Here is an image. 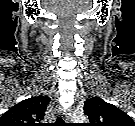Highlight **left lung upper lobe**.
I'll use <instances>...</instances> for the list:
<instances>
[{
  "instance_id": "obj_1",
  "label": "left lung upper lobe",
  "mask_w": 135,
  "mask_h": 126,
  "mask_svg": "<svg viewBox=\"0 0 135 126\" xmlns=\"http://www.w3.org/2000/svg\"><path fill=\"white\" fill-rule=\"evenodd\" d=\"M84 113L90 120L89 126H135L130 116L99 97L84 102Z\"/></svg>"
}]
</instances>
